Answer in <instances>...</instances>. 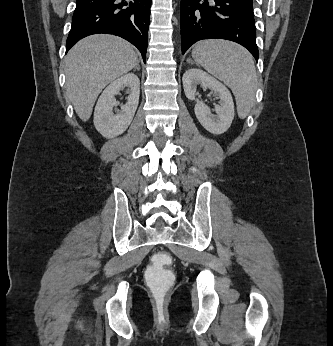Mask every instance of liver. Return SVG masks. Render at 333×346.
<instances>
[{
	"mask_svg": "<svg viewBox=\"0 0 333 346\" xmlns=\"http://www.w3.org/2000/svg\"><path fill=\"white\" fill-rule=\"evenodd\" d=\"M138 63L130 43L106 34L88 36L65 57L66 94L77 115L88 121L100 92Z\"/></svg>",
	"mask_w": 333,
	"mask_h": 346,
	"instance_id": "6515ba94",
	"label": "liver"
}]
</instances>
